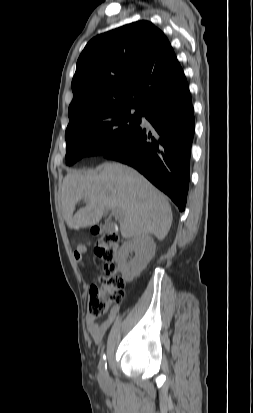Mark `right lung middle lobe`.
<instances>
[{"label": "right lung middle lobe", "instance_id": "right-lung-middle-lobe-1", "mask_svg": "<svg viewBox=\"0 0 253 413\" xmlns=\"http://www.w3.org/2000/svg\"><path fill=\"white\" fill-rule=\"evenodd\" d=\"M135 113H131V109ZM142 109L120 105L103 108L69 122L65 133L66 164L85 156L102 155L141 124Z\"/></svg>", "mask_w": 253, "mask_h": 413}]
</instances>
